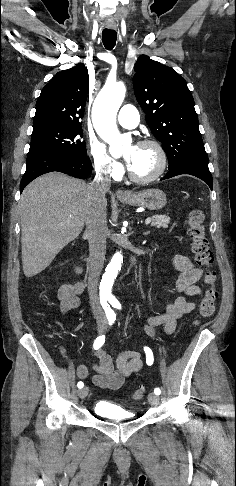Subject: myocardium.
<instances>
[{"label":"myocardium","instance_id":"1","mask_svg":"<svg viewBox=\"0 0 236 486\" xmlns=\"http://www.w3.org/2000/svg\"><path fill=\"white\" fill-rule=\"evenodd\" d=\"M137 146H152V147H154L156 149L157 153H158V156H159V165H158V168L155 170V172H153L151 175L145 176V177L135 175L128 168L127 174H128L129 179L131 181L135 182V183H140V184H147V183H151L153 181H156L157 179H159L163 175V173L165 172L166 167H167L168 158H167V153H166L164 147L162 146V144L159 141L154 140V139H144V140L140 141Z\"/></svg>","mask_w":236,"mask_h":486}]
</instances>
